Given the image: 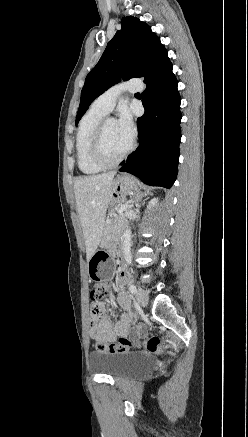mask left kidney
<instances>
[{
    "label": "left kidney",
    "mask_w": 248,
    "mask_h": 437,
    "mask_svg": "<svg viewBox=\"0 0 248 437\" xmlns=\"http://www.w3.org/2000/svg\"><path fill=\"white\" fill-rule=\"evenodd\" d=\"M158 202V198H153L150 202L149 205L147 206L148 209H150L151 207H154Z\"/></svg>",
    "instance_id": "1"
}]
</instances>
